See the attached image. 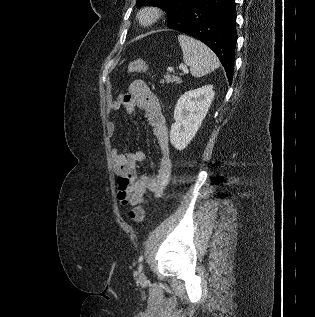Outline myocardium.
Returning a JSON list of instances; mask_svg holds the SVG:
<instances>
[{
  "mask_svg": "<svg viewBox=\"0 0 315 317\" xmlns=\"http://www.w3.org/2000/svg\"><path fill=\"white\" fill-rule=\"evenodd\" d=\"M163 15V10L156 5L145 6L139 10L137 20L142 26L155 24Z\"/></svg>",
  "mask_w": 315,
  "mask_h": 317,
  "instance_id": "obj_1",
  "label": "myocardium"
}]
</instances>
